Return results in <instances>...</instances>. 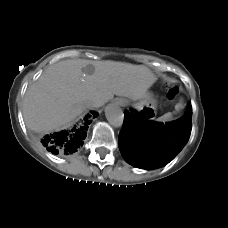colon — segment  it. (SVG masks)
I'll list each match as a JSON object with an SVG mask.
<instances>
[{
	"instance_id": "obj_1",
	"label": "colon",
	"mask_w": 228,
	"mask_h": 228,
	"mask_svg": "<svg viewBox=\"0 0 228 228\" xmlns=\"http://www.w3.org/2000/svg\"><path fill=\"white\" fill-rule=\"evenodd\" d=\"M177 94H178V88L177 87H171L169 90H168V92H167V98L169 99V100H173V99H175V97L177 96Z\"/></svg>"
}]
</instances>
